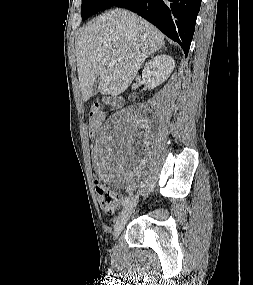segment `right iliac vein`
I'll return each instance as SVG.
<instances>
[{"label":"right iliac vein","mask_w":253,"mask_h":285,"mask_svg":"<svg viewBox=\"0 0 253 285\" xmlns=\"http://www.w3.org/2000/svg\"><path fill=\"white\" fill-rule=\"evenodd\" d=\"M138 202V195L134 196L131 201L125 206V208L120 213L115 226L113 236L114 238L118 237L121 231L123 230L125 224L127 223L129 217L131 216L132 212L134 211Z\"/></svg>","instance_id":"1"}]
</instances>
